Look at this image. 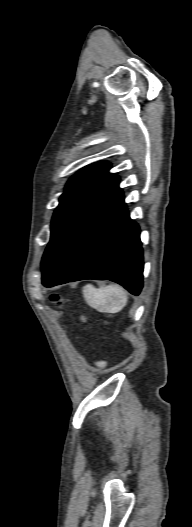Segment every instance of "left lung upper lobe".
Segmentation results:
<instances>
[{"mask_svg": "<svg viewBox=\"0 0 192 527\" xmlns=\"http://www.w3.org/2000/svg\"><path fill=\"white\" fill-rule=\"evenodd\" d=\"M109 168L108 162L94 163L68 181L53 215L51 238L41 263L42 276L48 273L91 213L118 185L119 177L108 173Z\"/></svg>", "mask_w": 192, "mask_h": 527, "instance_id": "1", "label": "left lung upper lobe"}]
</instances>
